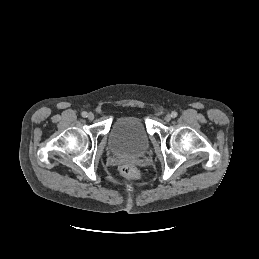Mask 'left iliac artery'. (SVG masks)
I'll return each instance as SVG.
<instances>
[{
    "label": "left iliac artery",
    "mask_w": 259,
    "mask_h": 259,
    "mask_svg": "<svg viewBox=\"0 0 259 259\" xmlns=\"http://www.w3.org/2000/svg\"><path fill=\"white\" fill-rule=\"evenodd\" d=\"M177 112L176 111H173L172 113H171V116L173 117V118H175V117H177Z\"/></svg>",
    "instance_id": "obj_1"
}]
</instances>
